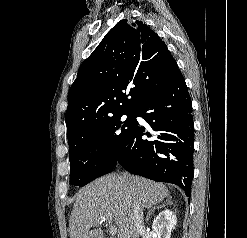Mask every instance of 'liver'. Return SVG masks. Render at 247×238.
Segmentation results:
<instances>
[{"label": "liver", "mask_w": 247, "mask_h": 238, "mask_svg": "<svg viewBox=\"0 0 247 238\" xmlns=\"http://www.w3.org/2000/svg\"><path fill=\"white\" fill-rule=\"evenodd\" d=\"M169 196L162 183L111 173L100 177L77 193L69 221L70 238H103L97 227L104 218L115 220L119 238H135L133 203L150 209Z\"/></svg>", "instance_id": "obj_1"}]
</instances>
